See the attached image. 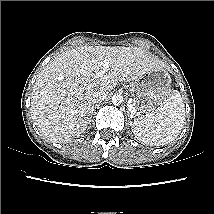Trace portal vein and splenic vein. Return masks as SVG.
<instances>
[{"mask_svg":"<svg viewBox=\"0 0 214 214\" xmlns=\"http://www.w3.org/2000/svg\"><path fill=\"white\" fill-rule=\"evenodd\" d=\"M109 65H110L109 60L105 59L103 61V68L95 74L94 78L102 77L109 70Z\"/></svg>","mask_w":214,"mask_h":214,"instance_id":"portal-vein-and-splenic-vein-1","label":"portal vein and splenic vein"}]
</instances>
